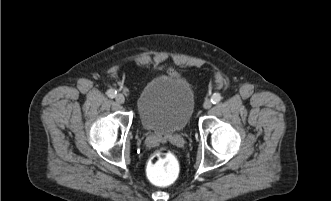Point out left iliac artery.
Returning <instances> with one entry per match:
<instances>
[{
    "label": "left iliac artery",
    "mask_w": 331,
    "mask_h": 201,
    "mask_svg": "<svg viewBox=\"0 0 331 201\" xmlns=\"http://www.w3.org/2000/svg\"><path fill=\"white\" fill-rule=\"evenodd\" d=\"M221 99H222L221 95L218 94V93H215V94H213L212 97H211V102H212L213 104H216V103H218Z\"/></svg>",
    "instance_id": "1"
}]
</instances>
